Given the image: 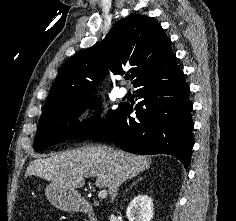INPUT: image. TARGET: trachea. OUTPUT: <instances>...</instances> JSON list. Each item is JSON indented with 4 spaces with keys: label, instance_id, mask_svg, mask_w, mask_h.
Listing matches in <instances>:
<instances>
[{
    "label": "trachea",
    "instance_id": "1",
    "mask_svg": "<svg viewBox=\"0 0 236 221\" xmlns=\"http://www.w3.org/2000/svg\"><path fill=\"white\" fill-rule=\"evenodd\" d=\"M125 79L129 80L130 79V75L125 76Z\"/></svg>",
    "mask_w": 236,
    "mask_h": 221
}]
</instances>
